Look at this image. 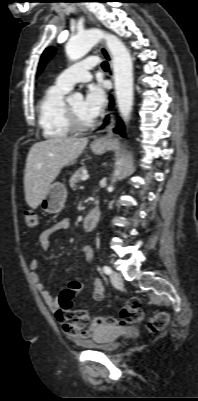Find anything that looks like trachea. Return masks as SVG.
Returning a JSON list of instances; mask_svg holds the SVG:
<instances>
[{
  "instance_id": "obj_1",
  "label": "trachea",
  "mask_w": 198,
  "mask_h": 401,
  "mask_svg": "<svg viewBox=\"0 0 198 401\" xmlns=\"http://www.w3.org/2000/svg\"><path fill=\"white\" fill-rule=\"evenodd\" d=\"M101 66H102L103 70H105V71L109 70L108 62H106V61L102 62Z\"/></svg>"
}]
</instances>
